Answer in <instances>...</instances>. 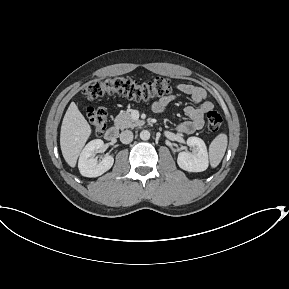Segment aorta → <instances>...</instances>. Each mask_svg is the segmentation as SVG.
<instances>
[{
	"instance_id": "1",
	"label": "aorta",
	"mask_w": 289,
	"mask_h": 289,
	"mask_svg": "<svg viewBox=\"0 0 289 289\" xmlns=\"http://www.w3.org/2000/svg\"><path fill=\"white\" fill-rule=\"evenodd\" d=\"M140 138L144 141L149 140L150 138V132L148 130H142L140 132Z\"/></svg>"
}]
</instances>
